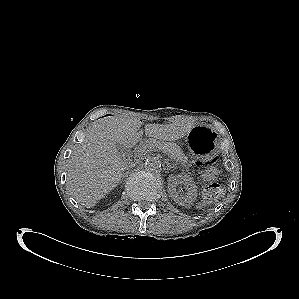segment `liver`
Here are the masks:
<instances>
[{
  "instance_id": "obj_1",
  "label": "liver",
  "mask_w": 299,
  "mask_h": 299,
  "mask_svg": "<svg viewBox=\"0 0 299 299\" xmlns=\"http://www.w3.org/2000/svg\"><path fill=\"white\" fill-rule=\"evenodd\" d=\"M142 122L136 118L111 116L97 120L68 161L67 189L81 205L91 208L108 194L128 169L127 158L116 149L120 144L132 148L142 138ZM187 124H146L145 135L161 141L184 137Z\"/></svg>"
}]
</instances>
